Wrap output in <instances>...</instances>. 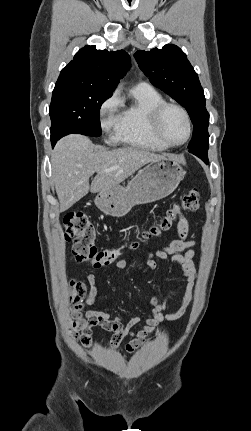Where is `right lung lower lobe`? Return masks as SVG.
Listing matches in <instances>:
<instances>
[{
    "label": "right lung lower lobe",
    "instance_id": "right-lung-lower-lobe-1",
    "mask_svg": "<svg viewBox=\"0 0 251 431\" xmlns=\"http://www.w3.org/2000/svg\"><path fill=\"white\" fill-rule=\"evenodd\" d=\"M51 142H52V146H54L56 144L57 140L51 139Z\"/></svg>",
    "mask_w": 251,
    "mask_h": 431
}]
</instances>
